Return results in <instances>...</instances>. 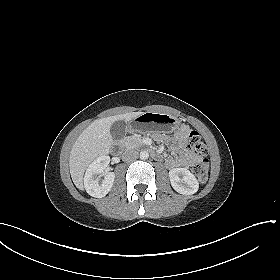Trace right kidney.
<instances>
[{"instance_id":"ca27d5eb","label":"right kidney","mask_w":280,"mask_h":280,"mask_svg":"<svg viewBox=\"0 0 280 280\" xmlns=\"http://www.w3.org/2000/svg\"><path fill=\"white\" fill-rule=\"evenodd\" d=\"M109 162V156L103 155L94 160L87 168L84 176V187L90 196L102 198L105 197L111 190L115 174L113 172L105 173V169L107 168ZM102 173L104 179L102 180V183L99 184V177L97 175Z\"/></svg>"}]
</instances>
